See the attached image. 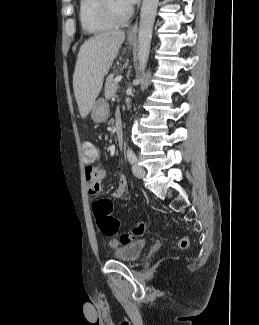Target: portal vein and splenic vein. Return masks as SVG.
<instances>
[{"instance_id": "1", "label": "portal vein and splenic vein", "mask_w": 259, "mask_h": 325, "mask_svg": "<svg viewBox=\"0 0 259 325\" xmlns=\"http://www.w3.org/2000/svg\"><path fill=\"white\" fill-rule=\"evenodd\" d=\"M122 80V76L121 75H119V76H117L115 79H114V81L117 83V82H120Z\"/></svg>"}]
</instances>
